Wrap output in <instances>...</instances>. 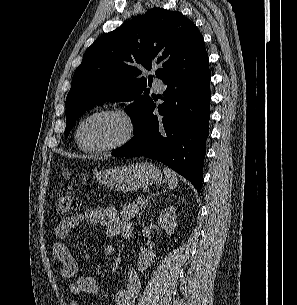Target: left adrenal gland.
Returning a JSON list of instances; mask_svg holds the SVG:
<instances>
[{
  "label": "left adrenal gland",
  "instance_id": "1",
  "mask_svg": "<svg viewBox=\"0 0 297 305\" xmlns=\"http://www.w3.org/2000/svg\"><path fill=\"white\" fill-rule=\"evenodd\" d=\"M157 194H158V193H157ZM157 194H153L152 196H150V197H148V198H147V200H146V204H145L144 208H146V206H147V204H148L149 199H150L151 197H153V196L157 195ZM143 211H144V210H143ZM143 211H142L141 213H143Z\"/></svg>",
  "mask_w": 297,
  "mask_h": 305
}]
</instances>
